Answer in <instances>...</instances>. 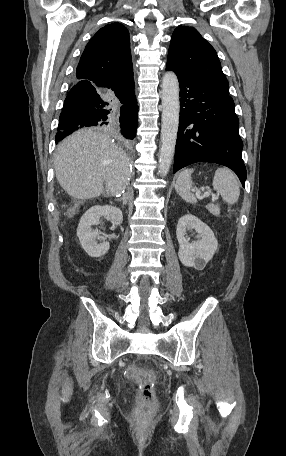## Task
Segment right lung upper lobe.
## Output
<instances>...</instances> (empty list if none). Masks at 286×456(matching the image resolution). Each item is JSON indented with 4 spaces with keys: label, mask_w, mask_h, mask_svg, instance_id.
<instances>
[{
    "label": "right lung upper lobe",
    "mask_w": 286,
    "mask_h": 456,
    "mask_svg": "<svg viewBox=\"0 0 286 456\" xmlns=\"http://www.w3.org/2000/svg\"><path fill=\"white\" fill-rule=\"evenodd\" d=\"M129 33L124 25L111 23L101 28L87 44L77 66L76 77L99 83L133 77Z\"/></svg>",
    "instance_id": "right-lung-upper-lobe-1"
}]
</instances>
